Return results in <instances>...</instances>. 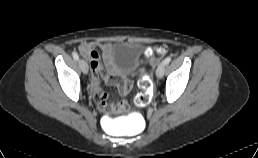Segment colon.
Here are the masks:
<instances>
[{
	"mask_svg": "<svg viewBox=\"0 0 258 158\" xmlns=\"http://www.w3.org/2000/svg\"><path fill=\"white\" fill-rule=\"evenodd\" d=\"M155 55L162 57L164 55V49L161 46H154L145 49L144 56L142 61L144 62L147 59H151L155 61ZM140 93L136 97V104L138 106L144 107L149 104L151 100V92H152V82L148 76L142 75L139 81ZM125 103L120 104H107L104 108L106 112H110L116 109H126Z\"/></svg>",
	"mask_w": 258,
	"mask_h": 158,
	"instance_id": "obj_1",
	"label": "colon"
}]
</instances>
